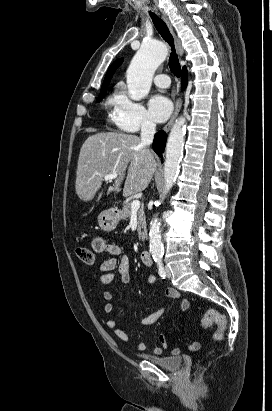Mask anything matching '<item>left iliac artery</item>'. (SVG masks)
Returning <instances> with one entry per match:
<instances>
[{
  "label": "left iliac artery",
  "mask_w": 272,
  "mask_h": 411,
  "mask_svg": "<svg viewBox=\"0 0 272 411\" xmlns=\"http://www.w3.org/2000/svg\"><path fill=\"white\" fill-rule=\"evenodd\" d=\"M155 262L157 263L158 266V273L159 275L164 279L166 277V272L162 263V259L161 258H157L155 259Z\"/></svg>",
  "instance_id": "left-iliac-artery-1"
}]
</instances>
